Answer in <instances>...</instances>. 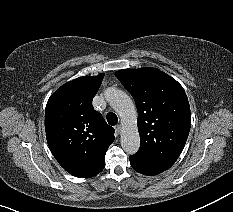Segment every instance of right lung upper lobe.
Returning a JSON list of instances; mask_svg holds the SVG:
<instances>
[{
    "label": "right lung upper lobe",
    "instance_id": "cb5924a9",
    "mask_svg": "<svg viewBox=\"0 0 233 212\" xmlns=\"http://www.w3.org/2000/svg\"><path fill=\"white\" fill-rule=\"evenodd\" d=\"M104 73L65 83L49 98L45 130L58 163L79 178L93 177L105 167V154L115 130L94 110L92 99Z\"/></svg>",
    "mask_w": 233,
    "mask_h": 212
}]
</instances>
